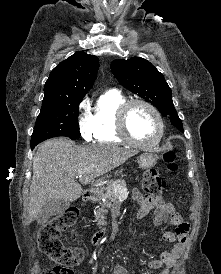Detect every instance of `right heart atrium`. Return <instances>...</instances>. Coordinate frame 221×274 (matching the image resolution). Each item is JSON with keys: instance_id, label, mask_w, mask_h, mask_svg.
<instances>
[{"instance_id": "1", "label": "right heart atrium", "mask_w": 221, "mask_h": 274, "mask_svg": "<svg viewBox=\"0 0 221 274\" xmlns=\"http://www.w3.org/2000/svg\"><path fill=\"white\" fill-rule=\"evenodd\" d=\"M89 102L84 99L80 103V115L78 120L81 136L86 141H91L94 138L93 119L88 109Z\"/></svg>"}]
</instances>
